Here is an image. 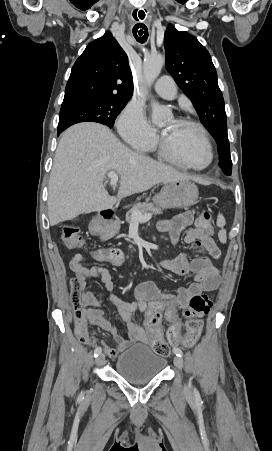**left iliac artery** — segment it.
<instances>
[{"mask_svg": "<svg viewBox=\"0 0 272 451\" xmlns=\"http://www.w3.org/2000/svg\"><path fill=\"white\" fill-rule=\"evenodd\" d=\"M173 352L176 354V356H178L180 358L183 357V352L181 351V349L174 348ZM193 390H194V395H195L196 400H201V397H200V394H199L198 390L195 387H194Z\"/></svg>", "mask_w": 272, "mask_h": 451, "instance_id": "left-iliac-artery-1", "label": "left iliac artery"}]
</instances>
